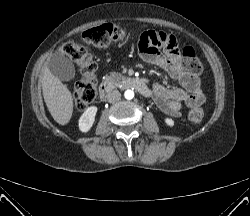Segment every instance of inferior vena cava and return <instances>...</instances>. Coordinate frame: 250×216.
Returning <instances> with one entry per match:
<instances>
[{
	"mask_svg": "<svg viewBox=\"0 0 250 216\" xmlns=\"http://www.w3.org/2000/svg\"><path fill=\"white\" fill-rule=\"evenodd\" d=\"M107 98H108V102L115 103L120 100L121 93L117 90H114L108 94Z\"/></svg>",
	"mask_w": 250,
	"mask_h": 216,
	"instance_id": "1",
	"label": "inferior vena cava"
}]
</instances>
